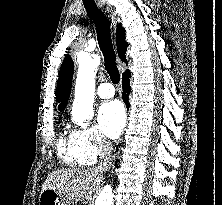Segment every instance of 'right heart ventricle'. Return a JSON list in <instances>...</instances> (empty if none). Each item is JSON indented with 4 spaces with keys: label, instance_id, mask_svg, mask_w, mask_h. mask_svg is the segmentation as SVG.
I'll return each instance as SVG.
<instances>
[{
    "label": "right heart ventricle",
    "instance_id": "e07e8e85",
    "mask_svg": "<svg viewBox=\"0 0 222 205\" xmlns=\"http://www.w3.org/2000/svg\"><path fill=\"white\" fill-rule=\"evenodd\" d=\"M58 154L63 162L70 166L85 165L83 158L73 146L70 138L66 140L61 137L58 145Z\"/></svg>",
    "mask_w": 222,
    "mask_h": 205
}]
</instances>
